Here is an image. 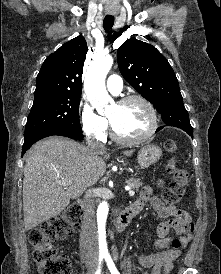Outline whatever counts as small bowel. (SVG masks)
I'll return each instance as SVG.
<instances>
[{
	"label": "small bowel",
	"instance_id": "obj_1",
	"mask_svg": "<svg viewBox=\"0 0 221 274\" xmlns=\"http://www.w3.org/2000/svg\"><path fill=\"white\" fill-rule=\"evenodd\" d=\"M149 201L157 212L158 216L163 219L157 228V238L155 246L162 249L161 252L140 255L138 261L145 268L143 274H169L173 268V261L180 255V249H169L171 231H174L181 240L184 247L191 238L192 222L187 213L174 206L165 204L159 197L153 195L151 187H145L140 193L139 199L133 204L138 213L143 209L144 203Z\"/></svg>",
	"mask_w": 221,
	"mask_h": 274
}]
</instances>
